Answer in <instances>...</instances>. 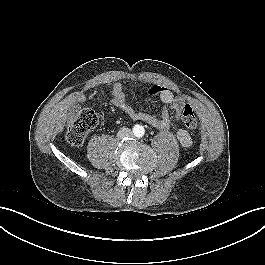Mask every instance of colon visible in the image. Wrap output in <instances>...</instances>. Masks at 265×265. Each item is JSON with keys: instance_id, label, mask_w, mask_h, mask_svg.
Here are the masks:
<instances>
[{"instance_id": "1", "label": "colon", "mask_w": 265, "mask_h": 265, "mask_svg": "<svg viewBox=\"0 0 265 265\" xmlns=\"http://www.w3.org/2000/svg\"><path fill=\"white\" fill-rule=\"evenodd\" d=\"M161 87H153L150 92L153 95L160 94ZM182 119L184 125L189 130H194L198 126V121L193 108L186 104L183 107ZM97 115L94 110L84 108L70 115L67 122V139L72 145H80L86 135L96 127Z\"/></svg>"}]
</instances>
